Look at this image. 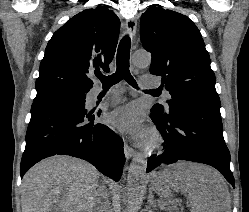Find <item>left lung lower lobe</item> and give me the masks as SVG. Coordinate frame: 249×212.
Instances as JSON below:
<instances>
[{"label":"left lung lower lobe","instance_id":"0a47b994","mask_svg":"<svg viewBox=\"0 0 249 212\" xmlns=\"http://www.w3.org/2000/svg\"><path fill=\"white\" fill-rule=\"evenodd\" d=\"M151 118L164 144L159 154L148 159L146 172L179 160L199 162L216 168L234 187L220 107L180 100L166 110L154 105Z\"/></svg>","mask_w":249,"mask_h":212}]
</instances>
